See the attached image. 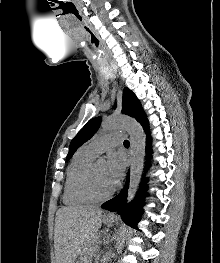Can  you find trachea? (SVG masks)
<instances>
[{"label": "trachea", "instance_id": "trachea-1", "mask_svg": "<svg viewBox=\"0 0 220 263\" xmlns=\"http://www.w3.org/2000/svg\"><path fill=\"white\" fill-rule=\"evenodd\" d=\"M124 146H129V141L128 140L124 141Z\"/></svg>", "mask_w": 220, "mask_h": 263}]
</instances>
